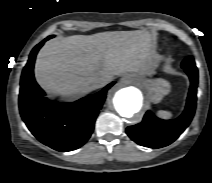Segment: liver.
Listing matches in <instances>:
<instances>
[{"label":"liver","mask_w":212,"mask_h":183,"mask_svg":"<svg viewBox=\"0 0 212 183\" xmlns=\"http://www.w3.org/2000/svg\"><path fill=\"white\" fill-rule=\"evenodd\" d=\"M159 60L155 39L146 31L73 35L46 43L35 63V78L45 90L75 98L94 90L99 77L134 72L150 74Z\"/></svg>","instance_id":"liver-1"}]
</instances>
